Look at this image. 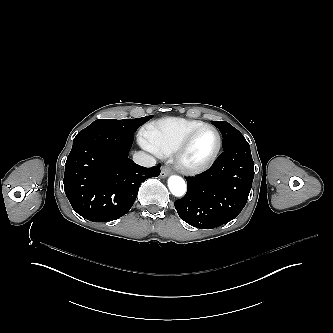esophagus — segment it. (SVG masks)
Masks as SVG:
<instances>
[{"mask_svg":"<svg viewBox=\"0 0 333 333\" xmlns=\"http://www.w3.org/2000/svg\"><path fill=\"white\" fill-rule=\"evenodd\" d=\"M170 173H171L170 168L167 167V166H163L162 169H161L160 177H161V178H165V177H167L168 175H170Z\"/></svg>","mask_w":333,"mask_h":333,"instance_id":"1","label":"esophagus"}]
</instances>
